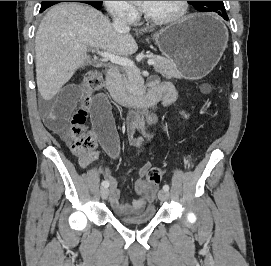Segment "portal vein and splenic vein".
Segmentation results:
<instances>
[{
  "instance_id": "portal-vein-and-splenic-vein-1",
  "label": "portal vein and splenic vein",
  "mask_w": 271,
  "mask_h": 266,
  "mask_svg": "<svg viewBox=\"0 0 271 266\" xmlns=\"http://www.w3.org/2000/svg\"><path fill=\"white\" fill-rule=\"evenodd\" d=\"M97 53L101 55L104 59L109 60L110 62L114 64L125 66V67H135L134 62L127 58L116 56L106 51L104 52L97 51ZM147 64L149 66H153L155 64V61L153 59H150L147 61Z\"/></svg>"
}]
</instances>
